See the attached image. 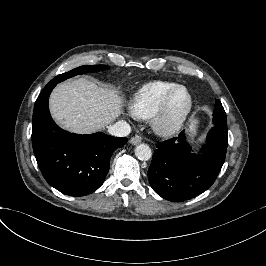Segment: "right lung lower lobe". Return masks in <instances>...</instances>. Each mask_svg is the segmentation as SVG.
<instances>
[{
	"instance_id": "1",
	"label": "right lung lower lobe",
	"mask_w": 266,
	"mask_h": 266,
	"mask_svg": "<svg viewBox=\"0 0 266 266\" xmlns=\"http://www.w3.org/2000/svg\"><path fill=\"white\" fill-rule=\"evenodd\" d=\"M57 83L50 81L35 102L33 151L42 175L52 187L66 195L85 196L103 184L112 153L123 147L127 138L101 132L80 135L59 128L48 108L49 95Z\"/></svg>"
}]
</instances>
